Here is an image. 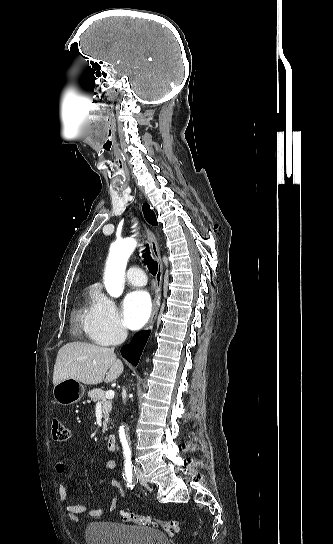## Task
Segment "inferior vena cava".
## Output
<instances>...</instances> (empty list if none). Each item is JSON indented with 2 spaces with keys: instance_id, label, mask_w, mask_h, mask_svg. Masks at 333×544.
<instances>
[{
  "instance_id": "obj_1",
  "label": "inferior vena cava",
  "mask_w": 333,
  "mask_h": 544,
  "mask_svg": "<svg viewBox=\"0 0 333 544\" xmlns=\"http://www.w3.org/2000/svg\"><path fill=\"white\" fill-rule=\"evenodd\" d=\"M127 338V331L124 328H120L117 337H116V343H122ZM123 393L125 394V389H123ZM124 403L126 402L125 398L123 399Z\"/></svg>"
}]
</instances>
